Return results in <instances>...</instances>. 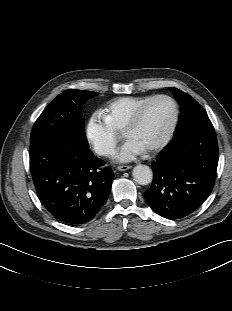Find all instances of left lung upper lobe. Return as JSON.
Segmentation results:
<instances>
[{
	"label": "left lung upper lobe",
	"instance_id": "1",
	"mask_svg": "<svg viewBox=\"0 0 232 311\" xmlns=\"http://www.w3.org/2000/svg\"><path fill=\"white\" fill-rule=\"evenodd\" d=\"M170 89L181 106V114L176 131L187 125L208 118L206 111L193 97L177 88L171 87Z\"/></svg>",
	"mask_w": 232,
	"mask_h": 311
}]
</instances>
